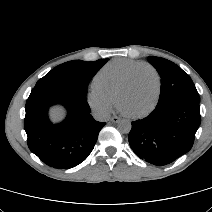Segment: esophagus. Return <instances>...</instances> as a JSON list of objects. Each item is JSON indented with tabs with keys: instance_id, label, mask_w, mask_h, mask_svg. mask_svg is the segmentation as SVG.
Listing matches in <instances>:
<instances>
[{
	"instance_id": "esophagus-1",
	"label": "esophagus",
	"mask_w": 212,
	"mask_h": 212,
	"mask_svg": "<svg viewBox=\"0 0 212 212\" xmlns=\"http://www.w3.org/2000/svg\"><path fill=\"white\" fill-rule=\"evenodd\" d=\"M111 121H112L113 123H118V122L120 121V118L117 117V116H114V117L111 118Z\"/></svg>"
}]
</instances>
